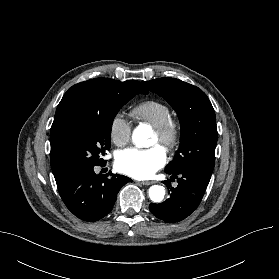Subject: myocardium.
<instances>
[{"mask_svg":"<svg viewBox=\"0 0 279 279\" xmlns=\"http://www.w3.org/2000/svg\"><path fill=\"white\" fill-rule=\"evenodd\" d=\"M154 133L158 136L160 144L167 151H173L180 140V129L174 118L165 120L162 124L154 127Z\"/></svg>","mask_w":279,"mask_h":279,"instance_id":"obj_1","label":"myocardium"}]
</instances>
